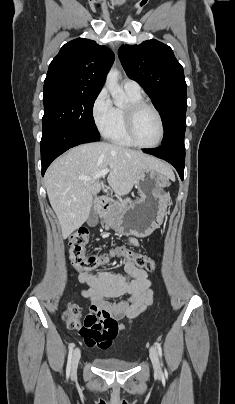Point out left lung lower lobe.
Wrapping results in <instances>:
<instances>
[{"mask_svg": "<svg viewBox=\"0 0 235 404\" xmlns=\"http://www.w3.org/2000/svg\"><path fill=\"white\" fill-rule=\"evenodd\" d=\"M143 152L154 155L172 164L183 180L185 167L184 141H175L155 149H143Z\"/></svg>", "mask_w": 235, "mask_h": 404, "instance_id": "0a47b994", "label": "left lung lower lobe"}]
</instances>
